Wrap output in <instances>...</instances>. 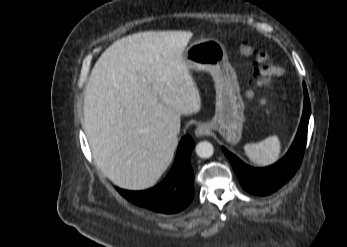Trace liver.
<instances>
[{"instance_id": "obj_1", "label": "liver", "mask_w": 347, "mask_h": 247, "mask_svg": "<svg viewBox=\"0 0 347 247\" xmlns=\"http://www.w3.org/2000/svg\"><path fill=\"white\" fill-rule=\"evenodd\" d=\"M192 32L146 31L109 46L85 90L84 127L97 166L128 190L153 186L173 160L172 127L201 97L182 53Z\"/></svg>"}]
</instances>
